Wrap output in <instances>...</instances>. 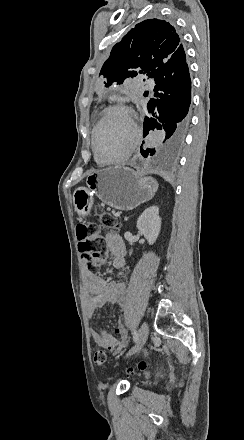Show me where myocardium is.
<instances>
[{"instance_id": "1", "label": "myocardium", "mask_w": 244, "mask_h": 440, "mask_svg": "<svg viewBox=\"0 0 244 440\" xmlns=\"http://www.w3.org/2000/svg\"><path fill=\"white\" fill-rule=\"evenodd\" d=\"M113 111H121V112H125L128 113L130 115H132V117H134V112L127 106L123 105V104H117V105H113L110 106L109 108H107L104 111L103 117H102V121L98 122V126H97V131L94 133V138H93V151H94V156L96 158V160L100 163L103 164H122L124 163L128 158H129V153L123 154V155H118L117 157H114L112 154H109L108 156H102L101 154H99L97 147L99 146L98 140L99 138V133L102 131L103 129V124L105 123V121H107L109 114ZM137 128V127H136ZM139 133V130H138ZM133 137V136H132ZM132 137L128 138L127 140H122L120 143L116 144V148L117 150H119L120 148H122L128 141H130L132 139Z\"/></svg>"}]
</instances>
